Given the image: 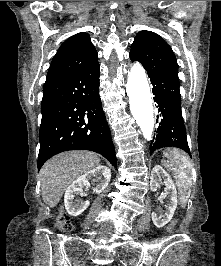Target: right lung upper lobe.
Segmentation results:
<instances>
[{"label": "right lung upper lobe", "mask_w": 221, "mask_h": 266, "mask_svg": "<svg viewBox=\"0 0 221 266\" xmlns=\"http://www.w3.org/2000/svg\"><path fill=\"white\" fill-rule=\"evenodd\" d=\"M97 61V51L91 43L89 34H75L58 49L49 67L45 85L75 74Z\"/></svg>", "instance_id": "cb5924a9"}]
</instances>
